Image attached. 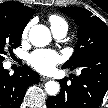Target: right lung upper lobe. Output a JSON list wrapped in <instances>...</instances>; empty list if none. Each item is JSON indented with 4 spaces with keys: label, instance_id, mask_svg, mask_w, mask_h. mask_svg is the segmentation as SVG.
I'll list each match as a JSON object with an SVG mask.
<instances>
[{
    "label": "right lung upper lobe",
    "instance_id": "right-lung-upper-lobe-1",
    "mask_svg": "<svg viewBox=\"0 0 108 108\" xmlns=\"http://www.w3.org/2000/svg\"><path fill=\"white\" fill-rule=\"evenodd\" d=\"M13 8L16 10L18 15L22 18V20L27 24L29 20L34 15V10L28 6H25L20 2H4L0 4V9Z\"/></svg>",
    "mask_w": 108,
    "mask_h": 108
}]
</instances>
